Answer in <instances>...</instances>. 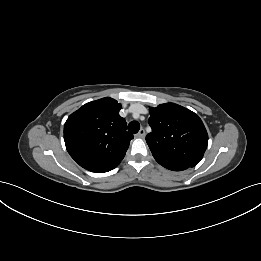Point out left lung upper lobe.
I'll return each mask as SVG.
<instances>
[{
	"instance_id": "obj_1",
	"label": "left lung upper lobe",
	"mask_w": 261,
	"mask_h": 261,
	"mask_svg": "<svg viewBox=\"0 0 261 261\" xmlns=\"http://www.w3.org/2000/svg\"><path fill=\"white\" fill-rule=\"evenodd\" d=\"M152 132L146 142L154 157L194 167L203 157L208 134L202 120L191 110L174 103L150 109Z\"/></svg>"
}]
</instances>
